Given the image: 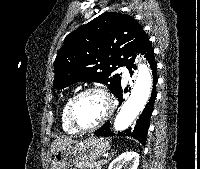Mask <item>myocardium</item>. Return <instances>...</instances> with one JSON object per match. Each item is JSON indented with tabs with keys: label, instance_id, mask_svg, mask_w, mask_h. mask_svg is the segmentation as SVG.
<instances>
[{
	"label": "myocardium",
	"instance_id": "1",
	"mask_svg": "<svg viewBox=\"0 0 200 169\" xmlns=\"http://www.w3.org/2000/svg\"><path fill=\"white\" fill-rule=\"evenodd\" d=\"M88 93L100 94L106 102V110H105V113L102 116V118L95 125L88 127V128H82L77 124V122L75 120L74 108H75L77 101L82 96H84ZM114 108H115L114 99H113L111 93L106 88H103L101 86H89V87H86V88L80 90L71 98L69 105H68V118H69L71 125L77 132H83V133L92 132V131H95L98 128H100L110 118V116L112 115V113L114 111Z\"/></svg>",
	"mask_w": 200,
	"mask_h": 169
}]
</instances>
